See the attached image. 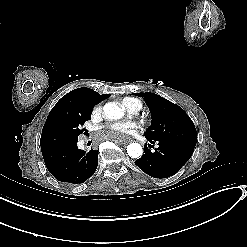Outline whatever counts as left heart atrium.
<instances>
[{
    "label": "left heart atrium",
    "instance_id": "39dd6f15",
    "mask_svg": "<svg viewBox=\"0 0 247 247\" xmlns=\"http://www.w3.org/2000/svg\"><path fill=\"white\" fill-rule=\"evenodd\" d=\"M129 127L133 131L131 132V134H134L136 131L135 124H130ZM100 129L103 134L104 144L106 143H115V144L128 143L127 132L120 126L118 122L108 123L106 126Z\"/></svg>",
    "mask_w": 247,
    "mask_h": 247
}]
</instances>
